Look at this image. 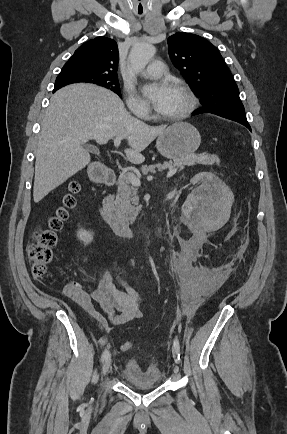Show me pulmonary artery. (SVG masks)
<instances>
[{"instance_id": "1", "label": "pulmonary artery", "mask_w": 287, "mask_h": 434, "mask_svg": "<svg viewBox=\"0 0 287 434\" xmlns=\"http://www.w3.org/2000/svg\"><path fill=\"white\" fill-rule=\"evenodd\" d=\"M165 68L161 60L152 61L147 68L142 72L144 77L158 78L163 76Z\"/></svg>"}]
</instances>
